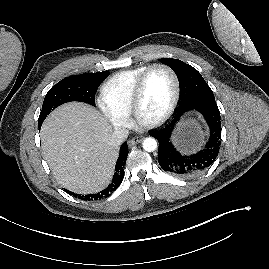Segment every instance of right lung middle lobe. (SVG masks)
I'll return each mask as SVG.
<instances>
[{"label":"right lung middle lobe","mask_w":269,"mask_h":269,"mask_svg":"<svg viewBox=\"0 0 269 269\" xmlns=\"http://www.w3.org/2000/svg\"><path fill=\"white\" fill-rule=\"evenodd\" d=\"M108 75V71L81 74L58 82L45 96L38 125L41 126L47 115L63 103L81 101L94 106L97 88Z\"/></svg>","instance_id":"1"}]
</instances>
